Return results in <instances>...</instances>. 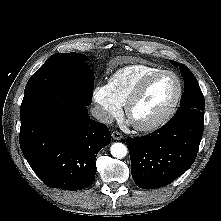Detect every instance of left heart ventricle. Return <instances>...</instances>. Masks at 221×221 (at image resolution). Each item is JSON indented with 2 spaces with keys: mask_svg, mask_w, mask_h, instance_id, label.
<instances>
[{
  "mask_svg": "<svg viewBox=\"0 0 221 221\" xmlns=\"http://www.w3.org/2000/svg\"><path fill=\"white\" fill-rule=\"evenodd\" d=\"M176 91L177 84L171 75H161L155 78L133 107L130 120L136 124H143L156 119L170 105Z\"/></svg>",
  "mask_w": 221,
  "mask_h": 221,
  "instance_id": "obj_1",
  "label": "left heart ventricle"
}]
</instances>
